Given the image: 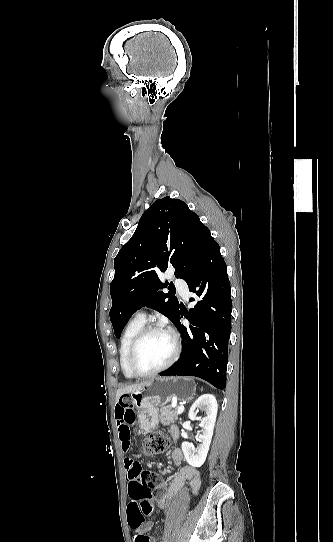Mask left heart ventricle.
Wrapping results in <instances>:
<instances>
[{"instance_id": "left-heart-ventricle-1", "label": "left heart ventricle", "mask_w": 333, "mask_h": 542, "mask_svg": "<svg viewBox=\"0 0 333 542\" xmlns=\"http://www.w3.org/2000/svg\"><path fill=\"white\" fill-rule=\"evenodd\" d=\"M171 351V339L166 333H152L140 344L135 354V368L142 373L154 371L166 362Z\"/></svg>"}]
</instances>
